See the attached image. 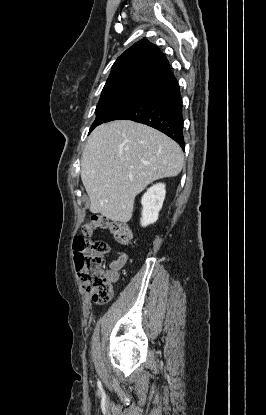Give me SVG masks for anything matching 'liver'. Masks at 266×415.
<instances>
[{"label": "liver", "mask_w": 266, "mask_h": 415, "mask_svg": "<svg viewBox=\"0 0 266 415\" xmlns=\"http://www.w3.org/2000/svg\"><path fill=\"white\" fill-rule=\"evenodd\" d=\"M183 165L182 149L163 133L129 120L102 124L89 136L81 160L90 211L126 223L136 195L155 180L177 176Z\"/></svg>", "instance_id": "6515ba94"}]
</instances>
